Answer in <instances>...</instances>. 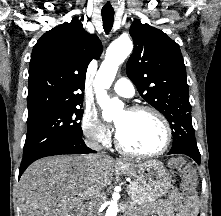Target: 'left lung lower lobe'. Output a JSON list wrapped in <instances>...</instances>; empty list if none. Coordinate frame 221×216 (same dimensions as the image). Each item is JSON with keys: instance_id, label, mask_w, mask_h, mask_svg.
<instances>
[{"instance_id": "obj_1", "label": "left lung lower lobe", "mask_w": 221, "mask_h": 216, "mask_svg": "<svg viewBox=\"0 0 221 216\" xmlns=\"http://www.w3.org/2000/svg\"><path fill=\"white\" fill-rule=\"evenodd\" d=\"M168 154H185L189 157H191L192 159H194L199 165H200V154H194L192 152H189V151H185V150H170V152Z\"/></svg>"}]
</instances>
